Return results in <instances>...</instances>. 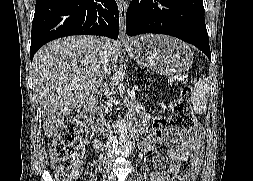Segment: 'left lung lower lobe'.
Wrapping results in <instances>:
<instances>
[{"instance_id":"left-lung-lower-lobe-1","label":"left lung lower lobe","mask_w":253,"mask_h":181,"mask_svg":"<svg viewBox=\"0 0 253 181\" xmlns=\"http://www.w3.org/2000/svg\"><path fill=\"white\" fill-rule=\"evenodd\" d=\"M129 36L145 33L177 37L211 60L203 0H132L126 13Z\"/></svg>"}]
</instances>
